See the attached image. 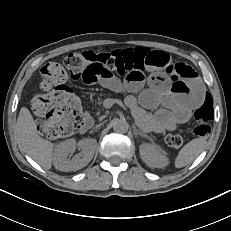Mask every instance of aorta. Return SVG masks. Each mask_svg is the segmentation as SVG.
<instances>
[{"label":"aorta","instance_id":"1","mask_svg":"<svg viewBox=\"0 0 231 231\" xmlns=\"http://www.w3.org/2000/svg\"><path fill=\"white\" fill-rule=\"evenodd\" d=\"M129 129V124L126 120L123 119H115L113 120V130L116 133H126Z\"/></svg>","mask_w":231,"mask_h":231}]
</instances>
